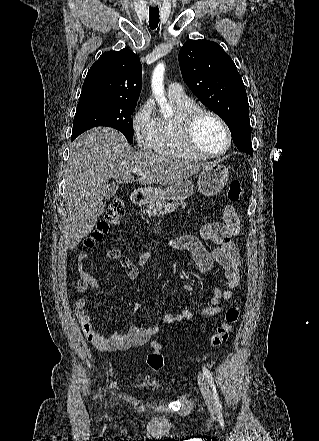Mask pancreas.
Segmentation results:
<instances>
[{
  "label": "pancreas",
  "instance_id": "cf45deb5",
  "mask_svg": "<svg viewBox=\"0 0 319 441\" xmlns=\"http://www.w3.org/2000/svg\"><path fill=\"white\" fill-rule=\"evenodd\" d=\"M179 205H181V208L187 207V204L183 203V201H181V204L179 202L162 203L153 201L147 206L146 212L149 216H160L173 212Z\"/></svg>",
  "mask_w": 319,
  "mask_h": 441
}]
</instances>
